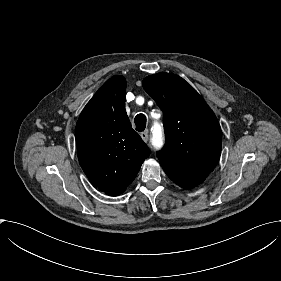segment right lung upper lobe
I'll use <instances>...</instances> for the list:
<instances>
[{
    "instance_id": "obj_1",
    "label": "right lung upper lobe",
    "mask_w": 281,
    "mask_h": 281,
    "mask_svg": "<svg viewBox=\"0 0 281 281\" xmlns=\"http://www.w3.org/2000/svg\"><path fill=\"white\" fill-rule=\"evenodd\" d=\"M126 81L114 76L95 93L76 124L79 163L94 187L118 196L136 177L150 150L125 111Z\"/></svg>"
}]
</instances>
